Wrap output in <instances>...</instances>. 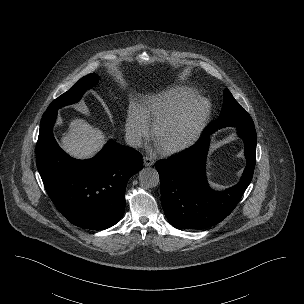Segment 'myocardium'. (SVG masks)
<instances>
[{"mask_svg":"<svg viewBox=\"0 0 304 304\" xmlns=\"http://www.w3.org/2000/svg\"><path fill=\"white\" fill-rule=\"evenodd\" d=\"M200 107L201 113L198 119V122L191 132V134L183 141L172 144V145H166L161 146L162 150L167 154H176L182 151L187 150L188 148L192 147L201 137L203 131L205 130L208 121L211 116V103L208 99L205 97H202L200 95H195L188 100H186L184 103H182L179 107H177L175 110L167 113L166 115L159 118L154 124H153V138L158 143V136L160 134V131L162 128L168 124L169 122L181 117L186 112L191 110L194 107Z\"/></svg>","mask_w":304,"mask_h":304,"instance_id":"myocardium-1","label":"myocardium"}]
</instances>
